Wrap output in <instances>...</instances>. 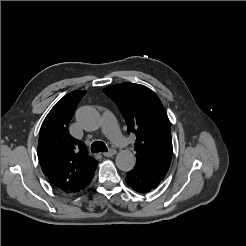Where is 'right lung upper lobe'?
I'll list each match as a JSON object with an SVG mask.
<instances>
[{
	"label": "right lung upper lobe",
	"mask_w": 246,
	"mask_h": 246,
	"mask_svg": "<svg viewBox=\"0 0 246 246\" xmlns=\"http://www.w3.org/2000/svg\"><path fill=\"white\" fill-rule=\"evenodd\" d=\"M86 91H72L60 99L44 119L38 158L52 185L65 194L78 193L91 182L98 162L85 145L72 137L68 125Z\"/></svg>",
	"instance_id": "right-lung-upper-lobe-1"
}]
</instances>
